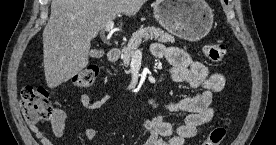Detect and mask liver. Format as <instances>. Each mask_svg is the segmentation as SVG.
I'll list each match as a JSON object with an SVG mask.
<instances>
[{
  "label": "liver",
  "instance_id": "6515ba94",
  "mask_svg": "<svg viewBox=\"0 0 276 145\" xmlns=\"http://www.w3.org/2000/svg\"><path fill=\"white\" fill-rule=\"evenodd\" d=\"M146 0H52L43 31L44 73L55 88L88 65L90 42L108 21L134 16Z\"/></svg>",
  "mask_w": 276,
  "mask_h": 145
}]
</instances>
